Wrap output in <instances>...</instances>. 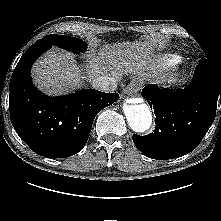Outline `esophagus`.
Listing matches in <instances>:
<instances>
[{"instance_id": "obj_1", "label": "esophagus", "mask_w": 221, "mask_h": 221, "mask_svg": "<svg viewBox=\"0 0 221 221\" xmlns=\"http://www.w3.org/2000/svg\"><path fill=\"white\" fill-rule=\"evenodd\" d=\"M140 90V85L137 82L130 83L124 90L125 94H136Z\"/></svg>"}]
</instances>
